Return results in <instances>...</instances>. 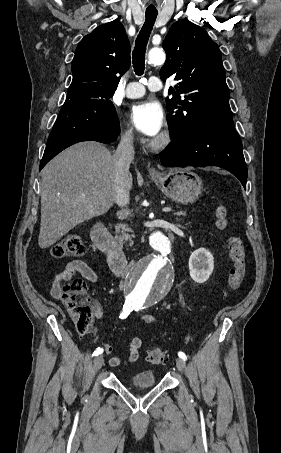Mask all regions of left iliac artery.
Returning <instances> with one entry per match:
<instances>
[{"label": "left iliac artery", "instance_id": "44dca946", "mask_svg": "<svg viewBox=\"0 0 281 453\" xmlns=\"http://www.w3.org/2000/svg\"><path fill=\"white\" fill-rule=\"evenodd\" d=\"M133 309H134L135 311H138L139 309H142V306L135 305V306H133ZM178 355H179V357H180L181 359H183L184 361L187 359L186 355H185L183 352H179Z\"/></svg>", "mask_w": 281, "mask_h": 453}]
</instances>
